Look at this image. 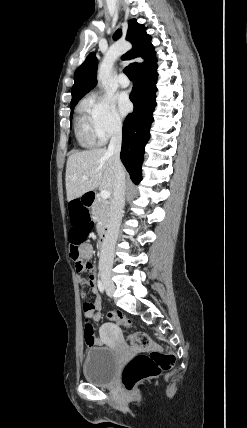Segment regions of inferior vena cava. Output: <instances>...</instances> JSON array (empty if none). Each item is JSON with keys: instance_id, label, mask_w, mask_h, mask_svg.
Wrapping results in <instances>:
<instances>
[{"instance_id": "inferior-vena-cava-1", "label": "inferior vena cava", "mask_w": 247, "mask_h": 428, "mask_svg": "<svg viewBox=\"0 0 247 428\" xmlns=\"http://www.w3.org/2000/svg\"><path fill=\"white\" fill-rule=\"evenodd\" d=\"M122 142V124H114L112 137L108 146V153L114 159L115 186L111 202L110 220L107 233L102 243L99 259V268H111L114 259V248L119 235V229L125 205V171L120 160Z\"/></svg>"}]
</instances>
